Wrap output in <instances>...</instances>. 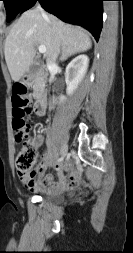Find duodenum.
I'll return each mask as SVG.
<instances>
[{"label":"duodenum","mask_w":133,"mask_h":253,"mask_svg":"<svg viewBox=\"0 0 133 253\" xmlns=\"http://www.w3.org/2000/svg\"><path fill=\"white\" fill-rule=\"evenodd\" d=\"M46 73H38L36 76L29 75L26 77L25 81L27 84H38L45 80ZM47 108V97L44 93H39L37 100L34 105V112L38 116H43L46 113Z\"/></svg>","instance_id":"410a0bca"}]
</instances>
